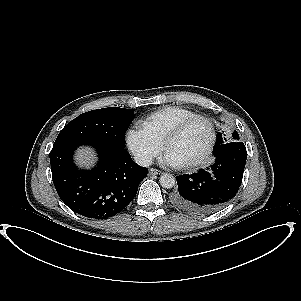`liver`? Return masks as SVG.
Instances as JSON below:
<instances>
[{"label":"liver","instance_id":"1","mask_svg":"<svg viewBox=\"0 0 301 301\" xmlns=\"http://www.w3.org/2000/svg\"><path fill=\"white\" fill-rule=\"evenodd\" d=\"M93 153L90 149H80L76 153V160L79 165L89 167L93 163Z\"/></svg>","mask_w":301,"mask_h":301}]
</instances>
